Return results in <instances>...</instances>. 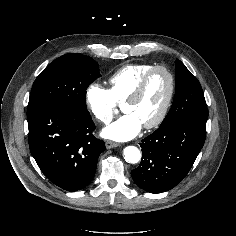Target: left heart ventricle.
<instances>
[{
	"mask_svg": "<svg viewBox=\"0 0 236 236\" xmlns=\"http://www.w3.org/2000/svg\"><path fill=\"white\" fill-rule=\"evenodd\" d=\"M168 87L167 75L162 71L155 72L148 80L141 97L135 102L125 104L123 111L135 114L143 125L153 121L164 105Z\"/></svg>",
	"mask_w": 236,
	"mask_h": 236,
	"instance_id": "1",
	"label": "left heart ventricle"
}]
</instances>
